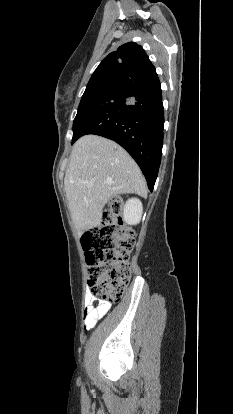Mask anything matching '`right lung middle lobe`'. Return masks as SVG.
Instances as JSON below:
<instances>
[{
  "mask_svg": "<svg viewBox=\"0 0 233 414\" xmlns=\"http://www.w3.org/2000/svg\"><path fill=\"white\" fill-rule=\"evenodd\" d=\"M132 83V80L119 76H105L89 81L73 122L72 144L77 140V130L85 116L113 97L122 95Z\"/></svg>",
  "mask_w": 233,
  "mask_h": 414,
  "instance_id": "1",
  "label": "right lung middle lobe"
}]
</instances>
